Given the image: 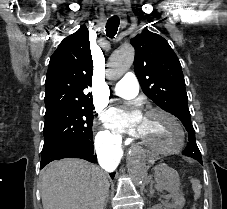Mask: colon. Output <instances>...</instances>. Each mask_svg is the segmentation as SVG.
Segmentation results:
<instances>
[{
  "label": "colon",
  "instance_id": "obj_1",
  "mask_svg": "<svg viewBox=\"0 0 227 209\" xmlns=\"http://www.w3.org/2000/svg\"><path fill=\"white\" fill-rule=\"evenodd\" d=\"M191 185H192V191H193V195H194V199L195 201H197L200 197L201 194V183L198 179L196 178H192L191 179ZM193 209H197L196 206H193Z\"/></svg>",
  "mask_w": 227,
  "mask_h": 209
}]
</instances>
